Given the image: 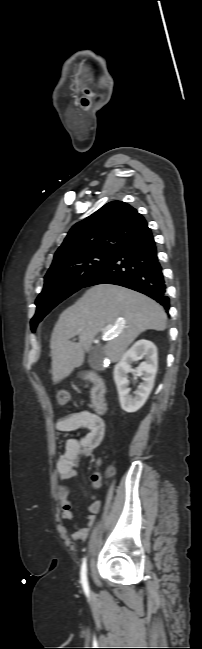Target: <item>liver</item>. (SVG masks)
Instances as JSON below:
<instances>
[{"label":"liver","instance_id":"6515ba94","mask_svg":"<svg viewBox=\"0 0 202 649\" xmlns=\"http://www.w3.org/2000/svg\"><path fill=\"white\" fill-rule=\"evenodd\" d=\"M166 321L163 308L142 293L113 284L88 289L61 313L53 329L50 349L54 384L83 364L97 334L108 326L113 333L103 353L117 362L140 333L149 329L164 331ZM74 336H79L78 343L70 340Z\"/></svg>","mask_w":202,"mask_h":649}]
</instances>
